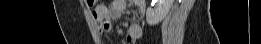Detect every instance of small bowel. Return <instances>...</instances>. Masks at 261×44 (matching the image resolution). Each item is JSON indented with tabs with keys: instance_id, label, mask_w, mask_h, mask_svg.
I'll use <instances>...</instances> for the list:
<instances>
[{
	"instance_id": "c3829d8e",
	"label": "small bowel",
	"mask_w": 261,
	"mask_h": 44,
	"mask_svg": "<svg viewBox=\"0 0 261 44\" xmlns=\"http://www.w3.org/2000/svg\"><path fill=\"white\" fill-rule=\"evenodd\" d=\"M128 5V1L115 0L110 5L106 6L100 4L93 12L94 20L97 24L100 33H107L112 30V21L119 18L121 12ZM135 5L139 7L141 11L144 9V3L142 1H136ZM108 16L109 19L104 18ZM142 35V28L137 23V16L133 15L131 24L128 27L126 34V42L128 44H134Z\"/></svg>"
}]
</instances>
